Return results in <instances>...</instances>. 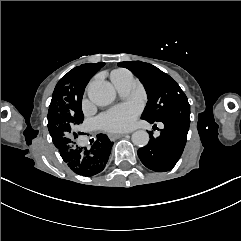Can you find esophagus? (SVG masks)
Segmentation results:
<instances>
[{"mask_svg":"<svg viewBox=\"0 0 241 241\" xmlns=\"http://www.w3.org/2000/svg\"><path fill=\"white\" fill-rule=\"evenodd\" d=\"M125 136V134H123V133H120V134H109L108 135V137H109V139L111 140V141H115V140H117V139H119V138H122V137H124Z\"/></svg>","mask_w":241,"mask_h":241,"instance_id":"34e87169","label":"esophagus"}]
</instances>
